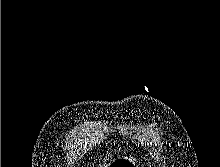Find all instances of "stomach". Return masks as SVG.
Returning a JSON list of instances; mask_svg holds the SVG:
<instances>
[{
    "mask_svg": "<svg viewBox=\"0 0 220 167\" xmlns=\"http://www.w3.org/2000/svg\"><path fill=\"white\" fill-rule=\"evenodd\" d=\"M109 167H136V162L132 157L118 156L110 162Z\"/></svg>",
    "mask_w": 220,
    "mask_h": 167,
    "instance_id": "1",
    "label": "stomach"
}]
</instances>
